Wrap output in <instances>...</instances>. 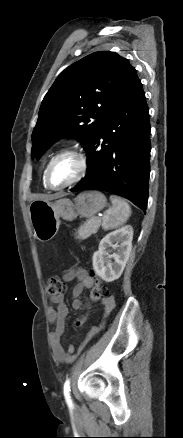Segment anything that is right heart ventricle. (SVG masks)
Here are the masks:
<instances>
[{
  "mask_svg": "<svg viewBox=\"0 0 183 438\" xmlns=\"http://www.w3.org/2000/svg\"><path fill=\"white\" fill-rule=\"evenodd\" d=\"M45 169H46V166H45V168H44V170H43V173H42V180H43V186H44L45 188H47V186H46L45 183H44V173H45Z\"/></svg>",
  "mask_w": 183,
  "mask_h": 438,
  "instance_id": "1",
  "label": "right heart ventricle"
}]
</instances>
